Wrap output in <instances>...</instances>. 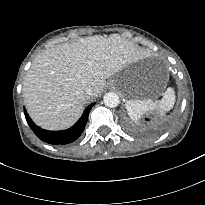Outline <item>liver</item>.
<instances>
[{
  "instance_id": "6515ba94",
  "label": "liver",
  "mask_w": 205,
  "mask_h": 205,
  "mask_svg": "<svg viewBox=\"0 0 205 205\" xmlns=\"http://www.w3.org/2000/svg\"><path fill=\"white\" fill-rule=\"evenodd\" d=\"M141 57L137 46L118 34L84 37L41 52L23 82L29 115L45 129L72 126L87 101L103 91L106 79ZM87 87L92 95L86 94Z\"/></svg>"
}]
</instances>
